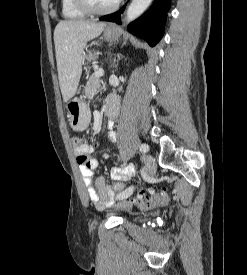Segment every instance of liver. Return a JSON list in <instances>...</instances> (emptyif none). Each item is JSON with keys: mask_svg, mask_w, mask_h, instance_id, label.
<instances>
[{"mask_svg": "<svg viewBox=\"0 0 247 275\" xmlns=\"http://www.w3.org/2000/svg\"><path fill=\"white\" fill-rule=\"evenodd\" d=\"M106 24L86 20L60 21L54 30L58 79L63 101L68 102L79 85L84 48L98 37Z\"/></svg>", "mask_w": 247, "mask_h": 275, "instance_id": "1", "label": "liver"}]
</instances>
